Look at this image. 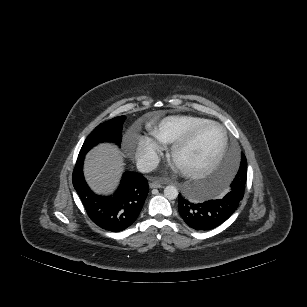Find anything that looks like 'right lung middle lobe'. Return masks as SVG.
Instances as JSON below:
<instances>
[{
    "label": "right lung middle lobe",
    "mask_w": 307,
    "mask_h": 307,
    "mask_svg": "<svg viewBox=\"0 0 307 307\" xmlns=\"http://www.w3.org/2000/svg\"><path fill=\"white\" fill-rule=\"evenodd\" d=\"M124 119V116H119L98 125L86 138L79 156L85 155L92 147L102 142H114L120 145Z\"/></svg>",
    "instance_id": "dd1d6c3e"
}]
</instances>
